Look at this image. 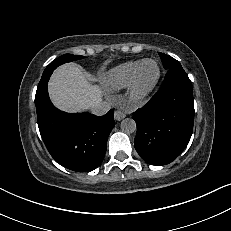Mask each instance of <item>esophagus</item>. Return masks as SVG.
<instances>
[{"mask_svg":"<svg viewBox=\"0 0 231 231\" xmlns=\"http://www.w3.org/2000/svg\"><path fill=\"white\" fill-rule=\"evenodd\" d=\"M125 117H126L125 112H123L121 110H117V111L114 112V118L117 121H120V120H122Z\"/></svg>","mask_w":231,"mask_h":231,"instance_id":"1","label":"esophagus"}]
</instances>
